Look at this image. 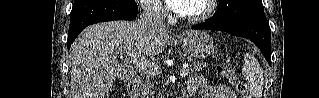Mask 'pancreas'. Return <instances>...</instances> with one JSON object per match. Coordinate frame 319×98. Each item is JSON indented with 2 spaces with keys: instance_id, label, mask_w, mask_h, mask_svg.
Wrapping results in <instances>:
<instances>
[{
  "instance_id": "cf45deb5",
  "label": "pancreas",
  "mask_w": 319,
  "mask_h": 98,
  "mask_svg": "<svg viewBox=\"0 0 319 98\" xmlns=\"http://www.w3.org/2000/svg\"><path fill=\"white\" fill-rule=\"evenodd\" d=\"M189 63H190V72L191 73H197L205 67L204 63H201L197 60H190ZM158 72H159V70H158ZM152 75L153 74H149V73L144 75L143 80H142V84L140 87L142 94L144 96H147V97L152 96L156 91L155 82H154Z\"/></svg>"
}]
</instances>
